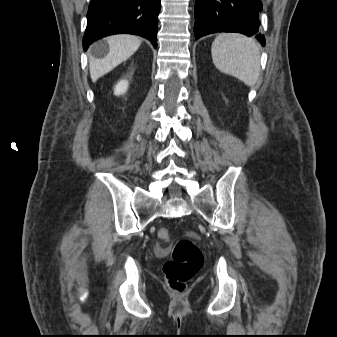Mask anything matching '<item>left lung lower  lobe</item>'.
<instances>
[{"mask_svg":"<svg viewBox=\"0 0 337 337\" xmlns=\"http://www.w3.org/2000/svg\"><path fill=\"white\" fill-rule=\"evenodd\" d=\"M260 0H196L194 32L196 39L210 33L237 32L256 35L265 46L259 32Z\"/></svg>","mask_w":337,"mask_h":337,"instance_id":"obj_1","label":"left lung lower lobe"}]
</instances>
